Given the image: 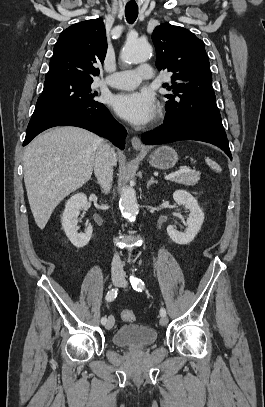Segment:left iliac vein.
I'll use <instances>...</instances> for the list:
<instances>
[{"label":"left iliac vein","mask_w":265,"mask_h":407,"mask_svg":"<svg viewBox=\"0 0 265 407\" xmlns=\"http://www.w3.org/2000/svg\"><path fill=\"white\" fill-rule=\"evenodd\" d=\"M160 325L165 326L168 324V318L165 316H162L159 320Z\"/></svg>","instance_id":"4c4485c4"}]
</instances>
